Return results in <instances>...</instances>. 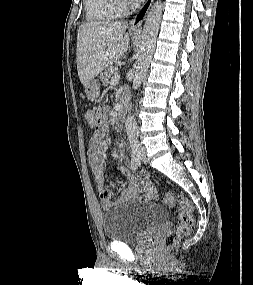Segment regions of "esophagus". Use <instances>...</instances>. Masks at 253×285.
Instances as JSON below:
<instances>
[{"label": "esophagus", "mask_w": 253, "mask_h": 285, "mask_svg": "<svg viewBox=\"0 0 253 285\" xmlns=\"http://www.w3.org/2000/svg\"><path fill=\"white\" fill-rule=\"evenodd\" d=\"M154 0H146L134 18L129 22V27L133 31H140L145 17L152 6Z\"/></svg>", "instance_id": "1"}]
</instances>
